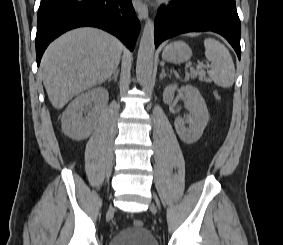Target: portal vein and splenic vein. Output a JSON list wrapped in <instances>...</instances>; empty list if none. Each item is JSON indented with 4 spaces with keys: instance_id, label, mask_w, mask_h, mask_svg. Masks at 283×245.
Segmentation results:
<instances>
[{
    "instance_id": "obj_1",
    "label": "portal vein and splenic vein",
    "mask_w": 283,
    "mask_h": 245,
    "mask_svg": "<svg viewBox=\"0 0 283 245\" xmlns=\"http://www.w3.org/2000/svg\"><path fill=\"white\" fill-rule=\"evenodd\" d=\"M204 68V64L202 62H199L198 65L196 66V69H202Z\"/></svg>"
}]
</instances>
